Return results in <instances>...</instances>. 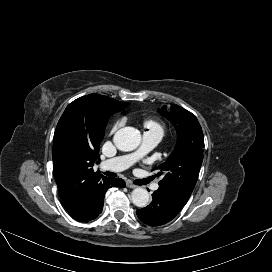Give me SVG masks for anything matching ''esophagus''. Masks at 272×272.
I'll return each mask as SVG.
<instances>
[{
  "instance_id": "34e87169",
  "label": "esophagus",
  "mask_w": 272,
  "mask_h": 272,
  "mask_svg": "<svg viewBox=\"0 0 272 272\" xmlns=\"http://www.w3.org/2000/svg\"><path fill=\"white\" fill-rule=\"evenodd\" d=\"M126 186L128 187V188H136L137 186L133 183V182H131V181H126Z\"/></svg>"
}]
</instances>
